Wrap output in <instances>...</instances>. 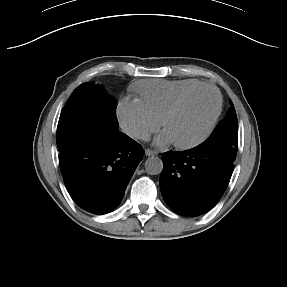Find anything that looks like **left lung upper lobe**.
Wrapping results in <instances>:
<instances>
[{"instance_id":"1","label":"left lung upper lobe","mask_w":287,"mask_h":287,"mask_svg":"<svg viewBox=\"0 0 287 287\" xmlns=\"http://www.w3.org/2000/svg\"><path fill=\"white\" fill-rule=\"evenodd\" d=\"M238 142V122L234 105L231 106L225 118L218 123L212 134L205 141L207 145L221 150L234 162Z\"/></svg>"}]
</instances>
